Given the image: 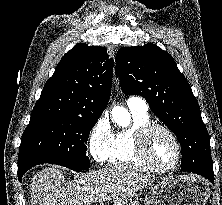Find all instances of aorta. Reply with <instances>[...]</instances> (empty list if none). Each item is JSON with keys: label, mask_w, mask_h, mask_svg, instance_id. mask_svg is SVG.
<instances>
[{"label": "aorta", "mask_w": 222, "mask_h": 205, "mask_svg": "<svg viewBox=\"0 0 222 205\" xmlns=\"http://www.w3.org/2000/svg\"><path fill=\"white\" fill-rule=\"evenodd\" d=\"M112 119L121 126H127L130 123V114L120 106H114L112 109Z\"/></svg>", "instance_id": "762f6f07"}]
</instances>
